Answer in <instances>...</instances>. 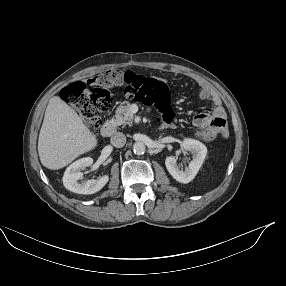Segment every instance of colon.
I'll return each mask as SVG.
<instances>
[{"label":"colon","mask_w":286,"mask_h":286,"mask_svg":"<svg viewBox=\"0 0 286 286\" xmlns=\"http://www.w3.org/2000/svg\"><path fill=\"white\" fill-rule=\"evenodd\" d=\"M116 77L117 72L110 71L100 80L112 82ZM123 80L127 85L128 97L140 95L147 104H155L160 108L164 121H172L174 112L170 107L167 86L162 81L137 76L130 72L123 74ZM62 100L78 109L82 119L92 131H98L103 122V114L111 106V96L107 89L101 86L90 87L83 82H75L64 88ZM197 122L200 137L208 143H215L228 135L223 122L215 116L197 119Z\"/></svg>","instance_id":"colon-1"}]
</instances>
